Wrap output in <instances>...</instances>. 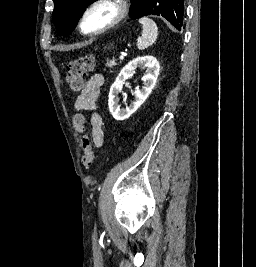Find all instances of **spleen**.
Listing matches in <instances>:
<instances>
[{"label": "spleen", "instance_id": "1", "mask_svg": "<svg viewBox=\"0 0 256 267\" xmlns=\"http://www.w3.org/2000/svg\"><path fill=\"white\" fill-rule=\"evenodd\" d=\"M138 22L139 24H142V34L137 42V48L138 50H146V48L155 44L157 40V24H155L153 20H150V18H147V16H145V18H140Z\"/></svg>", "mask_w": 256, "mask_h": 267}]
</instances>
